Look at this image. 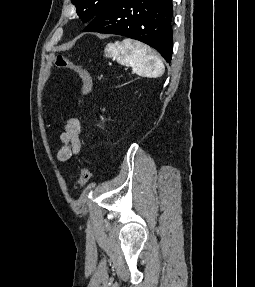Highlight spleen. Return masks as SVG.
<instances>
[{
  "label": "spleen",
  "mask_w": 255,
  "mask_h": 287,
  "mask_svg": "<svg viewBox=\"0 0 255 287\" xmlns=\"http://www.w3.org/2000/svg\"><path fill=\"white\" fill-rule=\"evenodd\" d=\"M106 56H114V54H122L123 62H130L134 72L143 78H160L164 74V64L157 56V52L140 44L136 40H124L122 44H107L105 48Z\"/></svg>",
  "instance_id": "1"
}]
</instances>
